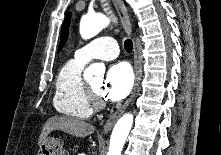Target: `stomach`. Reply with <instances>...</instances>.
<instances>
[{
    "mask_svg": "<svg viewBox=\"0 0 221 155\" xmlns=\"http://www.w3.org/2000/svg\"><path fill=\"white\" fill-rule=\"evenodd\" d=\"M38 155H65L60 140L49 137L41 144Z\"/></svg>",
    "mask_w": 221,
    "mask_h": 155,
    "instance_id": "obj_1",
    "label": "stomach"
}]
</instances>
